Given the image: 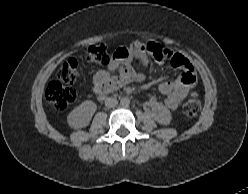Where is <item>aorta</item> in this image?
I'll use <instances>...</instances> for the list:
<instances>
[{
  "mask_svg": "<svg viewBox=\"0 0 248 194\" xmlns=\"http://www.w3.org/2000/svg\"><path fill=\"white\" fill-rule=\"evenodd\" d=\"M120 105L122 107H128L130 105V99L128 97H122L120 99Z\"/></svg>",
  "mask_w": 248,
  "mask_h": 194,
  "instance_id": "762f6f07",
  "label": "aorta"
}]
</instances>
